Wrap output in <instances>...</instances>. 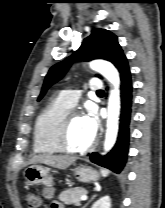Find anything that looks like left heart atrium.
<instances>
[{"instance_id":"obj_1","label":"left heart atrium","mask_w":165,"mask_h":208,"mask_svg":"<svg viewBox=\"0 0 165 208\" xmlns=\"http://www.w3.org/2000/svg\"><path fill=\"white\" fill-rule=\"evenodd\" d=\"M85 127L92 139L95 138L98 130V119L93 109H88L86 115L83 116Z\"/></svg>"}]
</instances>
